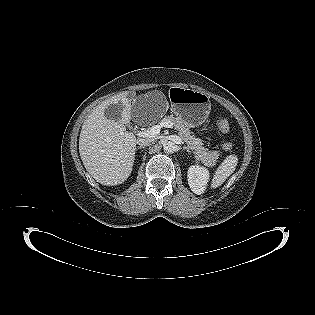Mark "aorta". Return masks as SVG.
I'll return each mask as SVG.
<instances>
[{"instance_id": "obj_1", "label": "aorta", "mask_w": 315, "mask_h": 315, "mask_svg": "<svg viewBox=\"0 0 315 315\" xmlns=\"http://www.w3.org/2000/svg\"><path fill=\"white\" fill-rule=\"evenodd\" d=\"M163 149L166 153H173L176 151V144L172 141H165L163 144Z\"/></svg>"}]
</instances>
